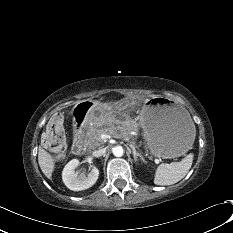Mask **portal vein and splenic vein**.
<instances>
[{"instance_id": "18ae733b", "label": "portal vein and splenic vein", "mask_w": 233, "mask_h": 233, "mask_svg": "<svg viewBox=\"0 0 233 233\" xmlns=\"http://www.w3.org/2000/svg\"><path fill=\"white\" fill-rule=\"evenodd\" d=\"M101 138L102 139H109L110 138V135H108V134H102L101 135ZM118 138V137H117Z\"/></svg>"}]
</instances>
